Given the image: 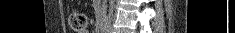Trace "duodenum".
<instances>
[{"label": "duodenum", "mask_w": 235, "mask_h": 33, "mask_svg": "<svg viewBox=\"0 0 235 33\" xmlns=\"http://www.w3.org/2000/svg\"><path fill=\"white\" fill-rule=\"evenodd\" d=\"M105 28H106L105 22H101V24H100L101 33L105 32Z\"/></svg>", "instance_id": "410a0bca"}]
</instances>
